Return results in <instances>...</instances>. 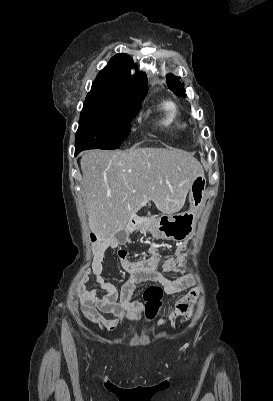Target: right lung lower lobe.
I'll return each instance as SVG.
<instances>
[{
    "mask_svg": "<svg viewBox=\"0 0 273 401\" xmlns=\"http://www.w3.org/2000/svg\"><path fill=\"white\" fill-rule=\"evenodd\" d=\"M82 150H75V156H77Z\"/></svg>",
    "mask_w": 273,
    "mask_h": 401,
    "instance_id": "right-lung-lower-lobe-1",
    "label": "right lung lower lobe"
}]
</instances>
